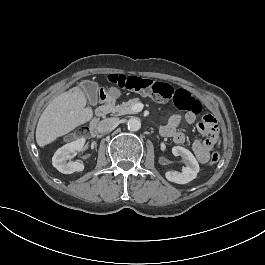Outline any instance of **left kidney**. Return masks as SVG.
<instances>
[{"instance_id":"5707ae66","label":"left kidney","mask_w":265,"mask_h":265,"mask_svg":"<svg viewBox=\"0 0 265 265\" xmlns=\"http://www.w3.org/2000/svg\"><path fill=\"white\" fill-rule=\"evenodd\" d=\"M172 153L174 156H181L185 161L186 167L182 168L181 173L177 171L166 172L167 180L177 184H186L195 179L199 172V164L193 154L181 146H174Z\"/></svg>"}]
</instances>
